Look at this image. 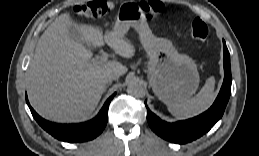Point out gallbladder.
Segmentation results:
<instances>
[{
  "label": "gallbladder",
  "mask_w": 259,
  "mask_h": 156,
  "mask_svg": "<svg viewBox=\"0 0 259 156\" xmlns=\"http://www.w3.org/2000/svg\"><path fill=\"white\" fill-rule=\"evenodd\" d=\"M69 35L74 41H77V42L81 43L82 45L87 46V44L82 41L81 34L76 27L71 26L69 28Z\"/></svg>",
  "instance_id": "bac80fb5"
}]
</instances>
